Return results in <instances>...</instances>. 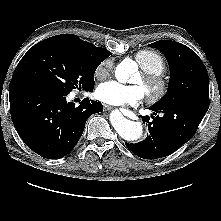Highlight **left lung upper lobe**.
I'll use <instances>...</instances> for the list:
<instances>
[{"mask_svg":"<svg viewBox=\"0 0 221 221\" xmlns=\"http://www.w3.org/2000/svg\"><path fill=\"white\" fill-rule=\"evenodd\" d=\"M149 46L163 52L170 67L168 92L155 106L165 107L175 103L193 104L209 100L207 70L193 50L169 40H160Z\"/></svg>","mask_w":221,"mask_h":221,"instance_id":"obj_1","label":"left lung upper lobe"}]
</instances>
